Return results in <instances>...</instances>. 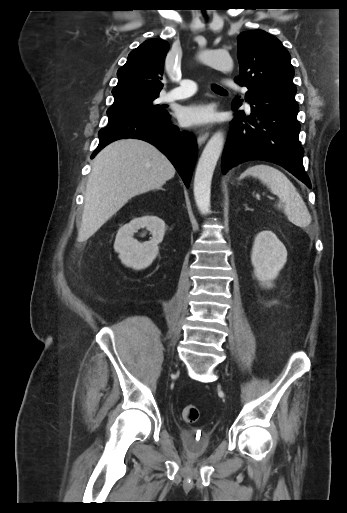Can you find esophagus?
I'll return each instance as SVG.
<instances>
[{
    "label": "esophagus",
    "mask_w": 347,
    "mask_h": 513,
    "mask_svg": "<svg viewBox=\"0 0 347 513\" xmlns=\"http://www.w3.org/2000/svg\"><path fill=\"white\" fill-rule=\"evenodd\" d=\"M208 137H209L208 127L201 129V132L197 138L198 145L201 146L202 144H204L205 141L208 139Z\"/></svg>",
    "instance_id": "34e87169"
}]
</instances>
